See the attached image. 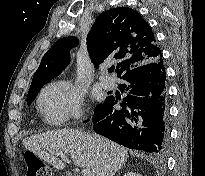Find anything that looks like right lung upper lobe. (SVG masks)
<instances>
[{"label": "right lung upper lobe", "instance_id": "right-lung-upper-lobe-1", "mask_svg": "<svg viewBox=\"0 0 205 176\" xmlns=\"http://www.w3.org/2000/svg\"><path fill=\"white\" fill-rule=\"evenodd\" d=\"M77 45L75 37L56 41L43 56L29 92L58 76L69 63V50ZM87 47L96 67L104 60L117 62L118 77L146 62L162 60L151 27L137 11L127 7L101 13L87 36Z\"/></svg>", "mask_w": 205, "mask_h": 176}]
</instances>
